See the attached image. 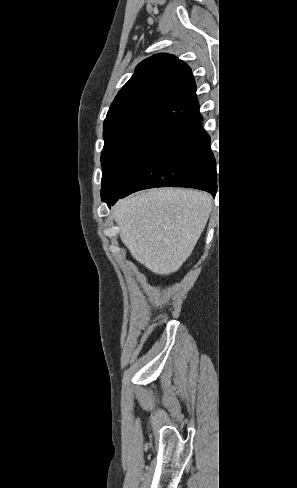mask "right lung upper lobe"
<instances>
[{
  "instance_id": "1",
  "label": "right lung upper lobe",
  "mask_w": 297,
  "mask_h": 488,
  "mask_svg": "<svg viewBox=\"0 0 297 488\" xmlns=\"http://www.w3.org/2000/svg\"><path fill=\"white\" fill-rule=\"evenodd\" d=\"M190 67L175 56L157 54L142 61L112 102L104 140L135 129L174 132L200 117Z\"/></svg>"
}]
</instances>
